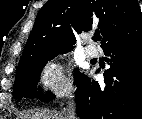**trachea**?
Returning <instances> with one entry per match:
<instances>
[{
    "label": "trachea",
    "mask_w": 142,
    "mask_h": 119,
    "mask_svg": "<svg viewBox=\"0 0 142 119\" xmlns=\"http://www.w3.org/2000/svg\"><path fill=\"white\" fill-rule=\"evenodd\" d=\"M92 39L94 41H100L101 40V36L99 34H95Z\"/></svg>",
    "instance_id": "trachea-1"
}]
</instances>
